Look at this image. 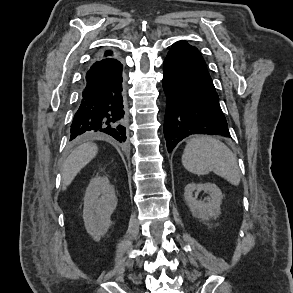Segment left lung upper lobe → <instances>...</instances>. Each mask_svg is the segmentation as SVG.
<instances>
[{
  "mask_svg": "<svg viewBox=\"0 0 293 293\" xmlns=\"http://www.w3.org/2000/svg\"><path fill=\"white\" fill-rule=\"evenodd\" d=\"M186 44L190 48L191 52L193 53V57L195 58V61L206 71L208 77L211 79V77L208 73V70H207L206 63H205L204 59L202 58L198 49L196 47L189 45L187 42H186Z\"/></svg>",
  "mask_w": 293,
  "mask_h": 293,
  "instance_id": "obj_1",
  "label": "left lung upper lobe"
}]
</instances>
